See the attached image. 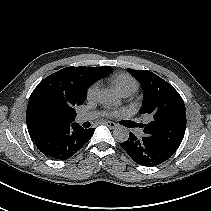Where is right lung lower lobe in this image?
<instances>
[{"label":"right lung lower lobe","mask_w":211,"mask_h":211,"mask_svg":"<svg viewBox=\"0 0 211 211\" xmlns=\"http://www.w3.org/2000/svg\"><path fill=\"white\" fill-rule=\"evenodd\" d=\"M94 129H84L77 123L57 127L44 133L34 142L51 159L66 160L78 152L92 137Z\"/></svg>","instance_id":"98d812e1"}]
</instances>
